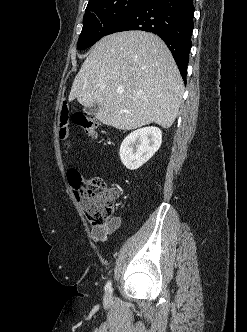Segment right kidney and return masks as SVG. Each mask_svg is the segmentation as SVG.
Instances as JSON below:
<instances>
[{"label": "right kidney", "mask_w": 247, "mask_h": 332, "mask_svg": "<svg viewBox=\"0 0 247 332\" xmlns=\"http://www.w3.org/2000/svg\"><path fill=\"white\" fill-rule=\"evenodd\" d=\"M162 131L154 126L144 127L131 132L120 146V159L130 170L145 164L160 148Z\"/></svg>", "instance_id": "obj_1"}]
</instances>
